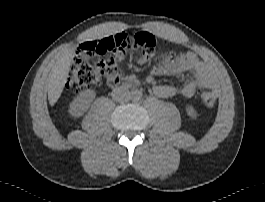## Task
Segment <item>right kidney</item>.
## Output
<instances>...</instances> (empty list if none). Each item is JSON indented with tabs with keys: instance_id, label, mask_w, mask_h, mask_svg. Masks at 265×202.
<instances>
[{
	"instance_id": "obj_1",
	"label": "right kidney",
	"mask_w": 265,
	"mask_h": 202,
	"mask_svg": "<svg viewBox=\"0 0 265 202\" xmlns=\"http://www.w3.org/2000/svg\"><path fill=\"white\" fill-rule=\"evenodd\" d=\"M96 93L92 90L81 92L70 104L69 113L74 117H81L94 100Z\"/></svg>"
}]
</instances>
